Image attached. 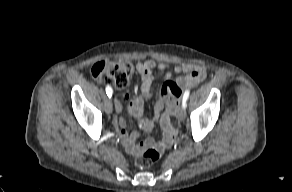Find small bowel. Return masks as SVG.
Segmentation results:
<instances>
[{"label":"small bowel","instance_id":"obj_1","mask_svg":"<svg viewBox=\"0 0 292 192\" xmlns=\"http://www.w3.org/2000/svg\"><path fill=\"white\" fill-rule=\"evenodd\" d=\"M136 70L141 76V92L147 94L150 90L151 84L156 76L163 74L166 82L162 85L159 91L158 100L155 103V117L154 120L140 118L143 111V103L140 97L130 99L125 95L123 100L129 102V113L138 117L140 127L145 131H150L155 123H158L162 131V139L159 142V148L164 150L168 148L176 136V129L171 122L170 116L177 113L179 97L182 89L187 86H194L205 79L206 69L199 64H183L173 67V71L180 75L175 81H171L172 76L171 67L165 63H158L153 59L138 62ZM167 99L166 109H164V100ZM164 109V110H163ZM118 113L122 111V106L119 102L116 104ZM116 131L121 139V142L126 151L132 155L142 153L146 148L154 145L153 140H146L141 143H136L139 136L138 132L128 133L125 126V121L121 116L114 119Z\"/></svg>","mask_w":292,"mask_h":192}]
</instances>
